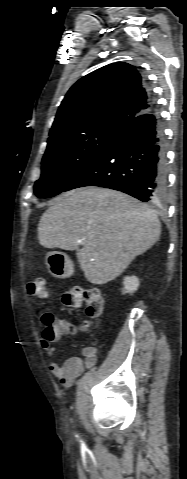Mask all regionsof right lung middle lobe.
Instances as JSON below:
<instances>
[{
	"mask_svg": "<svg viewBox=\"0 0 187 479\" xmlns=\"http://www.w3.org/2000/svg\"><path fill=\"white\" fill-rule=\"evenodd\" d=\"M122 129L110 125H92L73 129L48 141L42 160L41 178L34 186L40 198L53 197L96 158Z\"/></svg>",
	"mask_w": 187,
	"mask_h": 479,
	"instance_id": "1",
	"label": "right lung middle lobe"
}]
</instances>
